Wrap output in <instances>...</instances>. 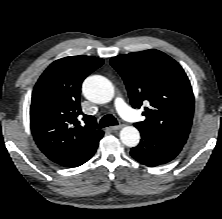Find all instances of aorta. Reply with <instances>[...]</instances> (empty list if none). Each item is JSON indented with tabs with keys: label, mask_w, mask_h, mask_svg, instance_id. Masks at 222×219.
I'll use <instances>...</instances> for the list:
<instances>
[{
	"label": "aorta",
	"mask_w": 222,
	"mask_h": 219,
	"mask_svg": "<svg viewBox=\"0 0 222 219\" xmlns=\"http://www.w3.org/2000/svg\"><path fill=\"white\" fill-rule=\"evenodd\" d=\"M83 95L95 103H107L114 96V87L105 77L93 75L86 78L82 86ZM120 140L128 147H135L140 140V133L134 126H126L120 131Z\"/></svg>",
	"instance_id": "aorta-1"
}]
</instances>
